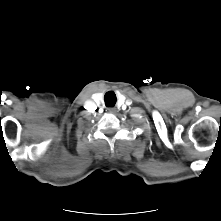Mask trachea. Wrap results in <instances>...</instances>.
Wrapping results in <instances>:
<instances>
[{"label":"trachea","instance_id":"obj_1","mask_svg":"<svg viewBox=\"0 0 221 221\" xmlns=\"http://www.w3.org/2000/svg\"><path fill=\"white\" fill-rule=\"evenodd\" d=\"M105 103L108 107H112L116 103V95L113 92H107L104 97Z\"/></svg>","mask_w":221,"mask_h":221}]
</instances>
